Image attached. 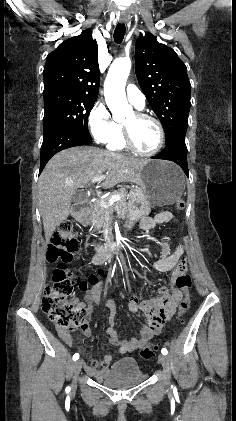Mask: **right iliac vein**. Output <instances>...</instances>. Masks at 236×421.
Segmentation results:
<instances>
[{
    "label": "right iliac vein",
    "instance_id": "63e3f726",
    "mask_svg": "<svg viewBox=\"0 0 236 421\" xmlns=\"http://www.w3.org/2000/svg\"><path fill=\"white\" fill-rule=\"evenodd\" d=\"M81 368H82V362L80 360H77L73 363V366H72L73 374H74L73 375V383H72L73 386H75L76 379H77V376L80 373Z\"/></svg>",
    "mask_w": 236,
    "mask_h": 421
}]
</instances>
